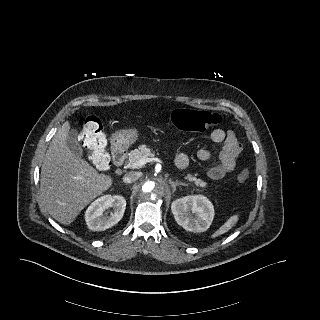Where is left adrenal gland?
<instances>
[{
  "label": "left adrenal gland",
  "mask_w": 320,
  "mask_h": 320,
  "mask_svg": "<svg viewBox=\"0 0 320 320\" xmlns=\"http://www.w3.org/2000/svg\"><path fill=\"white\" fill-rule=\"evenodd\" d=\"M169 182H170L174 191L176 190L177 186H188V184L179 182L178 180H176V181L169 180Z\"/></svg>",
  "instance_id": "left-adrenal-gland-1"
}]
</instances>
